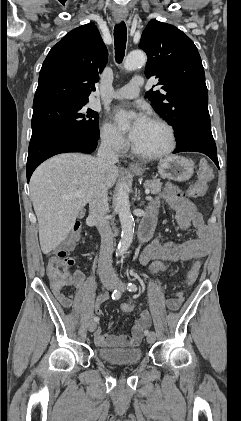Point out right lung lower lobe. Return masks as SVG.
I'll list each match as a JSON object with an SVG mask.
<instances>
[{"label":"right lung lower lobe","mask_w":241,"mask_h":421,"mask_svg":"<svg viewBox=\"0 0 241 421\" xmlns=\"http://www.w3.org/2000/svg\"><path fill=\"white\" fill-rule=\"evenodd\" d=\"M97 140L69 131H47L32 136L28 149L27 181L33 171L46 159L66 152L92 153Z\"/></svg>","instance_id":"98d812e1"}]
</instances>
